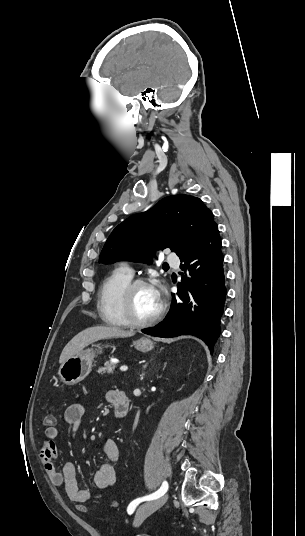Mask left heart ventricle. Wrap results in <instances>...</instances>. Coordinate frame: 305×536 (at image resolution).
I'll use <instances>...</instances> for the list:
<instances>
[{
	"instance_id": "1",
	"label": "left heart ventricle",
	"mask_w": 305,
	"mask_h": 536,
	"mask_svg": "<svg viewBox=\"0 0 305 536\" xmlns=\"http://www.w3.org/2000/svg\"><path fill=\"white\" fill-rule=\"evenodd\" d=\"M131 304L134 313L139 317H147L155 313L160 306V300L155 295V287L141 285L135 288L132 292Z\"/></svg>"
}]
</instances>
